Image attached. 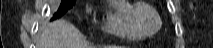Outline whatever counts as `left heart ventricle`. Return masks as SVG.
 Segmentation results:
<instances>
[{
    "mask_svg": "<svg viewBox=\"0 0 213 48\" xmlns=\"http://www.w3.org/2000/svg\"><path fill=\"white\" fill-rule=\"evenodd\" d=\"M143 21H144L145 27L148 31H153L157 26L156 19L150 13H145L143 15Z\"/></svg>",
    "mask_w": 213,
    "mask_h": 48,
    "instance_id": "1",
    "label": "left heart ventricle"
}]
</instances>
